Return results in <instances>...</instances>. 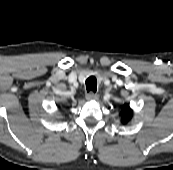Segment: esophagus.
Returning <instances> with one entry per match:
<instances>
[{
    "label": "esophagus",
    "instance_id": "esophagus-1",
    "mask_svg": "<svg viewBox=\"0 0 173 170\" xmlns=\"http://www.w3.org/2000/svg\"><path fill=\"white\" fill-rule=\"evenodd\" d=\"M99 99V95L94 92H89L86 94V100L87 101H96Z\"/></svg>",
    "mask_w": 173,
    "mask_h": 170
}]
</instances>
